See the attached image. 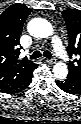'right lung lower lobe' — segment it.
Segmentation results:
<instances>
[{
    "label": "right lung lower lobe",
    "instance_id": "1",
    "mask_svg": "<svg viewBox=\"0 0 81 124\" xmlns=\"http://www.w3.org/2000/svg\"><path fill=\"white\" fill-rule=\"evenodd\" d=\"M37 64L31 69V71L24 77L22 80L14 84L13 86H10L8 88L2 89L1 91L8 94H15L23 91L25 88H27L31 81H32V75L33 71L37 68Z\"/></svg>",
    "mask_w": 81,
    "mask_h": 124
}]
</instances>
